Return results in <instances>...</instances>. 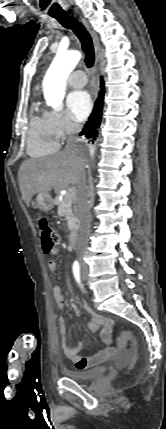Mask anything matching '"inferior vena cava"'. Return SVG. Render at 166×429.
<instances>
[{"label": "inferior vena cava", "mask_w": 166, "mask_h": 429, "mask_svg": "<svg viewBox=\"0 0 166 429\" xmlns=\"http://www.w3.org/2000/svg\"><path fill=\"white\" fill-rule=\"evenodd\" d=\"M68 139L65 146V150L77 151L76 143L78 141L77 134L81 130V126L78 123L69 122L67 124ZM90 192L88 190V183L86 177L85 167L82 168L78 183H77V205H78V216L80 222L79 237L77 246L75 248L76 255L80 261L86 251L89 234H90Z\"/></svg>", "instance_id": "inferior-vena-cava-1"}]
</instances>
